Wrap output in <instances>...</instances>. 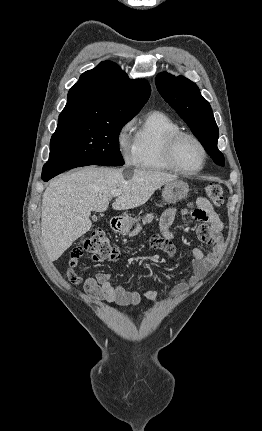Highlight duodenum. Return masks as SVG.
<instances>
[{"mask_svg":"<svg viewBox=\"0 0 262 431\" xmlns=\"http://www.w3.org/2000/svg\"><path fill=\"white\" fill-rule=\"evenodd\" d=\"M110 222H111V225L113 226V228L117 231L120 230L123 226L122 219L120 217H117V216L111 217Z\"/></svg>","mask_w":262,"mask_h":431,"instance_id":"1","label":"duodenum"}]
</instances>
